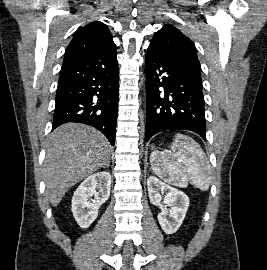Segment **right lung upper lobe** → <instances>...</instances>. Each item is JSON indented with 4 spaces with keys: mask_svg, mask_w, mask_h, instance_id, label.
Masks as SVG:
<instances>
[{
    "mask_svg": "<svg viewBox=\"0 0 267 270\" xmlns=\"http://www.w3.org/2000/svg\"><path fill=\"white\" fill-rule=\"evenodd\" d=\"M114 46L108 27L99 21L91 22L77 31L66 49L63 63L84 58Z\"/></svg>",
    "mask_w": 267,
    "mask_h": 270,
    "instance_id": "obj_1",
    "label": "right lung upper lobe"
}]
</instances>
